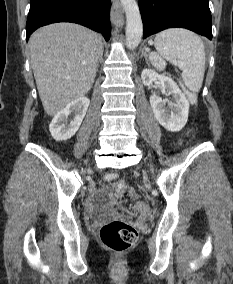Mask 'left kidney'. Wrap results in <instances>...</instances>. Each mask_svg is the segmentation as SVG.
<instances>
[{
  "label": "left kidney",
  "instance_id": "5707ae66",
  "mask_svg": "<svg viewBox=\"0 0 233 284\" xmlns=\"http://www.w3.org/2000/svg\"><path fill=\"white\" fill-rule=\"evenodd\" d=\"M142 82L150 86L159 81L161 87L172 96L171 101H166L153 93L150 96V104L157 121L168 131H180L187 123L189 113V101L178 85L168 76L160 75L154 70L144 69L141 73ZM168 104L169 108L165 105Z\"/></svg>",
  "mask_w": 233,
  "mask_h": 284
}]
</instances>
